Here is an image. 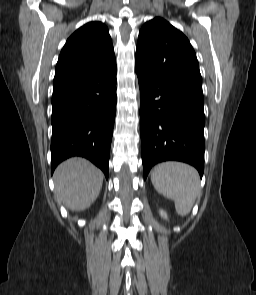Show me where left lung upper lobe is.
Returning a JSON list of instances; mask_svg holds the SVG:
<instances>
[{
	"mask_svg": "<svg viewBox=\"0 0 256 295\" xmlns=\"http://www.w3.org/2000/svg\"><path fill=\"white\" fill-rule=\"evenodd\" d=\"M135 65L160 83L203 98L198 61L189 40L162 18L143 25Z\"/></svg>",
	"mask_w": 256,
	"mask_h": 295,
	"instance_id": "obj_1",
	"label": "left lung upper lobe"
}]
</instances>
